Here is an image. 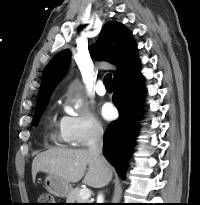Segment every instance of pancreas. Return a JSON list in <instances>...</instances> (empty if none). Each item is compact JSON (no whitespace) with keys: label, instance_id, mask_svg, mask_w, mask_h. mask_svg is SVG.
Instances as JSON below:
<instances>
[{"label":"pancreas","instance_id":"cf45deb5","mask_svg":"<svg viewBox=\"0 0 200 205\" xmlns=\"http://www.w3.org/2000/svg\"><path fill=\"white\" fill-rule=\"evenodd\" d=\"M79 192H80V188L72 189L67 196L66 203H91L88 200H83L79 196Z\"/></svg>","mask_w":200,"mask_h":205}]
</instances>
